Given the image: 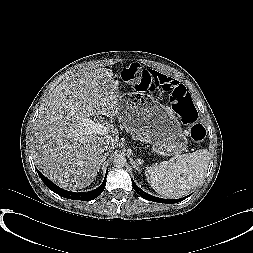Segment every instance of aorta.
<instances>
[{
  "label": "aorta",
  "mask_w": 253,
  "mask_h": 253,
  "mask_svg": "<svg viewBox=\"0 0 253 253\" xmlns=\"http://www.w3.org/2000/svg\"><path fill=\"white\" fill-rule=\"evenodd\" d=\"M113 165L117 168H122L126 165V158L123 156H116L113 159Z\"/></svg>",
  "instance_id": "obj_1"
}]
</instances>
